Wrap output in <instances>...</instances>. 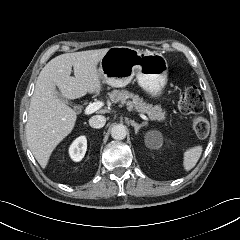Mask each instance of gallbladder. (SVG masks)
I'll return each instance as SVG.
<instances>
[{
	"label": "gallbladder",
	"mask_w": 240,
	"mask_h": 240,
	"mask_svg": "<svg viewBox=\"0 0 240 240\" xmlns=\"http://www.w3.org/2000/svg\"><path fill=\"white\" fill-rule=\"evenodd\" d=\"M56 95L61 101L65 102L67 104H70V102L61 94V92L56 90ZM74 107H76V106L74 105Z\"/></svg>",
	"instance_id": "bac80fb5"
}]
</instances>
